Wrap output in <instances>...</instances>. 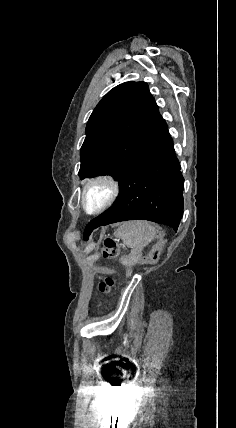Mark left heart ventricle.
Listing matches in <instances>:
<instances>
[{"label":"left heart ventricle","instance_id":"b2bd125f","mask_svg":"<svg viewBox=\"0 0 236 428\" xmlns=\"http://www.w3.org/2000/svg\"><path fill=\"white\" fill-rule=\"evenodd\" d=\"M107 196V191L102 186L91 188L87 194V203L90 208H94L102 203Z\"/></svg>","mask_w":236,"mask_h":428}]
</instances>
